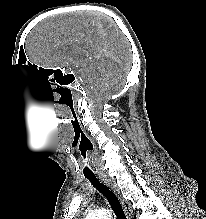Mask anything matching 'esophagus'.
Returning <instances> with one entry per match:
<instances>
[{"label": "esophagus", "instance_id": "esophagus-1", "mask_svg": "<svg viewBox=\"0 0 206 219\" xmlns=\"http://www.w3.org/2000/svg\"><path fill=\"white\" fill-rule=\"evenodd\" d=\"M99 179L116 194L120 203L122 204V207L125 211L127 218L132 219L133 211L131 209V205L129 201L122 195L121 191L116 186L114 181H112L111 178H109L106 174H100Z\"/></svg>", "mask_w": 206, "mask_h": 219}]
</instances>
